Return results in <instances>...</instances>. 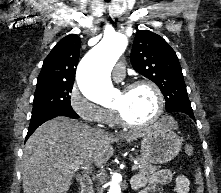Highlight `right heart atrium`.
<instances>
[{
  "label": "right heart atrium",
  "mask_w": 221,
  "mask_h": 193,
  "mask_svg": "<svg viewBox=\"0 0 221 193\" xmlns=\"http://www.w3.org/2000/svg\"><path fill=\"white\" fill-rule=\"evenodd\" d=\"M68 101L71 109L83 120L96 125L109 123L112 112L87 99L77 85L71 88Z\"/></svg>",
  "instance_id": "right-heart-atrium-1"
}]
</instances>
